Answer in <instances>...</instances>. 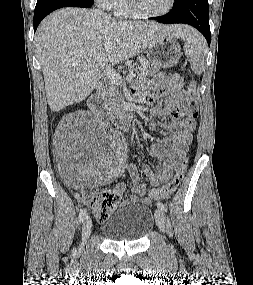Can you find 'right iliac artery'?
<instances>
[{"mask_svg":"<svg viewBox=\"0 0 253 285\" xmlns=\"http://www.w3.org/2000/svg\"><path fill=\"white\" fill-rule=\"evenodd\" d=\"M86 216H87V210L84 208V209H82V210L80 211V213H79V217H78L79 223L84 222Z\"/></svg>","mask_w":253,"mask_h":285,"instance_id":"right-iliac-artery-1","label":"right iliac artery"}]
</instances>
